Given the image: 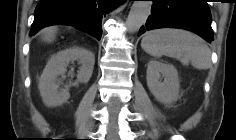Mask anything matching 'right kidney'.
Listing matches in <instances>:
<instances>
[{"label":"right kidney","instance_id":"ca27d5eb","mask_svg":"<svg viewBox=\"0 0 236 140\" xmlns=\"http://www.w3.org/2000/svg\"><path fill=\"white\" fill-rule=\"evenodd\" d=\"M74 61L80 64L77 82L87 83L90 80L95 63L92 52L71 48L57 53L49 60L39 80L40 94L46 106H59L70 98L68 86L60 88L58 77H64L68 64Z\"/></svg>","mask_w":236,"mask_h":140}]
</instances>
